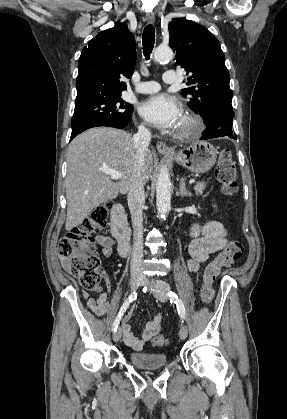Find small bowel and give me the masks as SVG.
I'll return each mask as SVG.
<instances>
[{"instance_id": "c3829d8e", "label": "small bowel", "mask_w": 287, "mask_h": 419, "mask_svg": "<svg viewBox=\"0 0 287 419\" xmlns=\"http://www.w3.org/2000/svg\"><path fill=\"white\" fill-rule=\"evenodd\" d=\"M192 235L193 240L189 245L190 259L187 261V265L190 271L197 272L199 271L201 264L208 259L210 254L216 253L226 246V229L219 222H208L196 225L192 230ZM96 240L101 245L103 254L109 257L112 254V249L115 244L114 240L111 237L104 235H98ZM62 266L65 270H68V260L62 259ZM103 276L107 287H109L108 276L106 273H103ZM84 298L86 299L89 309L97 316H104L113 309L112 305L109 303L108 291L101 292L97 298L89 296L88 293H84ZM130 318L131 312L123 317L122 329L124 340L133 350L141 351L143 347L159 333L162 315L159 313L156 314L153 319L147 323L141 338H138L133 334L129 323Z\"/></svg>"}]
</instances>
